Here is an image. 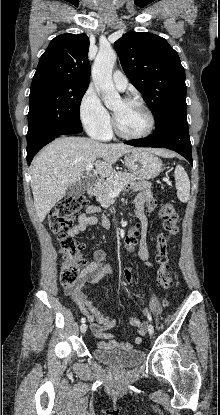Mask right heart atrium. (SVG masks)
Wrapping results in <instances>:
<instances>
[{
	"label": "right heart atrium",
	"instance_id": "right-heart-atrium-1",
	"mask_svg": "<svg viewBox=\"0 0 220 415\" xmlns=\"http://www.w3.org/2000/svg\"><path fill=\"white\" fill-rule=\"evenodd\" d=\"M79 117L83 128L95 139L110 133V115L92 88H87L80 100Z\"/></svg>",
	"mask_w": 220,
	"mask_h": 415
}]
</instances>
